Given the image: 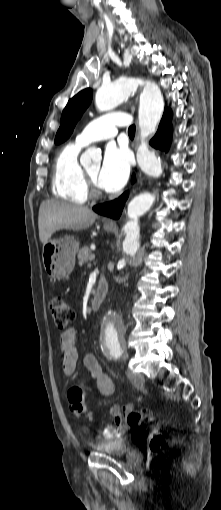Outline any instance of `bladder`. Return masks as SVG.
<instances>
[{
    "instance_id": "1",
    "label": "bladder",
    "mask_w": 221,
    "mask_h": 510,
    "mask_svg": "<svg viewBox=\"0 0 221 510\" xmlns=\"http://www.w3.org/2000/svg\"><path fill=\"white\" fill-rule=\"evenodd\" d=\"M134 447V439L130 436H123L114 441L101 440L93 445L94 450L115 457L127 455Z\"/></svg>"
}]
</instances>
